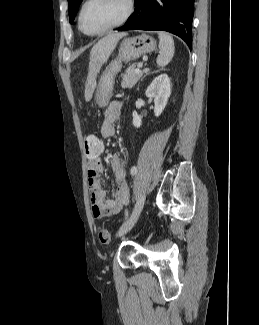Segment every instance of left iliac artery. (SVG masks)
Returning a JSON list of instances; mask_svg holds the SVG:
<instances>
[{
  "instance_id": "44dca946",
  "label": "left iliac artery",
  "mask_w": 259,
  "mask_h": 325,
  "mask_svg": "<svg viewBox=\"0 0 259 325\" xmlns=\"http://www.w3.org/2000/svg\"><path fill=\"white\" fill-rule=\"evenodd\" d=\"M131 175H135L137 173V167L133 166L130 170ZM128 215V212L126 211V216Z\"/></svg>"
}]
</instances>
